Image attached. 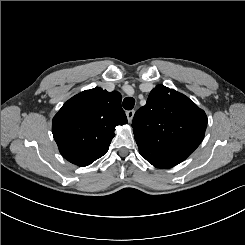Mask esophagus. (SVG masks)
Here are the masks:
<instances>
[{"mask_svg": "<svg viewBox=\"0 0 245 245\" xmlns=\"http://www.w3.org/2000/svg\"><path fill=\"white\" fill-rule=\"evenodd\" d=\"M134 110H128L127 112H126V115H127V119H128V122L130 123L131 121H132V119H133V116H134Z\"/></svg>", "mask_w": 245, "mask_h": 245, "instance_id": "1", "label": "esophagus"}]
</instances>
